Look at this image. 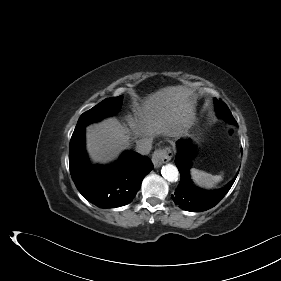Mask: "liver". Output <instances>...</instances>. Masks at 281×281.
Returning a JSON list of instances; mask_svg holds the SVG:
<instances>
[{"instance_id": "obj_1", "label": "liver", "mask_w": 281, "mask_h": 281, "mask_svg": "<svg viewBox=\"0 0 281 281\" xmlns=\"http://www.w3.org/2000/svg\"><path fill=\"white\" fill-rule=\"evenodd\" d=\"M192 91L184 86H168L149 94L134 117L128 116L130 129L115 118L86 128V149L94 163H108L130 145V130L135 135L153 138L158 135L177 137L192 125Z\"/></svg>"}]
</instances>
